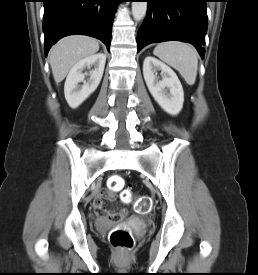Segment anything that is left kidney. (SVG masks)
<instances>
[{"label": "left kidney", "mask_w": 258, "mask_h": 275, "mask_svg": "<svg viewBox=\"0 0 258 275\" xmlns=\"http://www.w3.org/2000/svg\"><path fill=\"white\" fill-rule=\"evenodd\" d=\"M160 70L162 80L156 76ZM143 75L146 85L161 108L170 115L180 113L184 92L176 73L165 63L152 56H147L143 63Z\"/></svg>", "instance_id": "obj_1"}]
</instances>
